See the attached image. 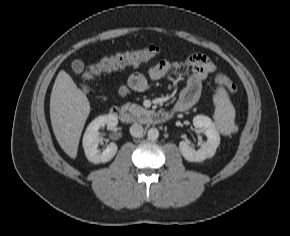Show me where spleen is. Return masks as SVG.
Here are the masks:
<instances>
[{"instance_id":"3e777b00","label":"spleen","mask_w":290,"mask_h":236,"mask_svg":"<svg viewBox=\"0 0 290 236\" xmlns=\"http://www.w3.org/2000/svg\"><path fill=\"white\" fill-rule=\"evenodd\" d=\"M216 106L214 120L224 135H229L234 126L235 109L224 89L219 88L213 98Z\"/></svg>"}]
</instances>
